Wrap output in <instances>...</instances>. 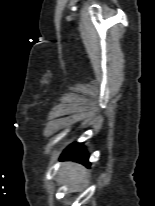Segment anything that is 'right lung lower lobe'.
<instances>
[{
	"mask_svg": "<svg viewBox=\"0 0 155 206\" xmlns=\"http://www.w3.org/2000/svg\"><path fill=\"white\" fill-rule=\"evenodd\" d=\"M88 158L89 156L85 151L82 143L71 144L62 154V159L75 160L87 166H90Z\"/></svg>",
	"mask_w": 155,
	"mask_h": 206,
	"instance_id": "1",
	"label": "right lung lower lobe"
}]
</instances>
